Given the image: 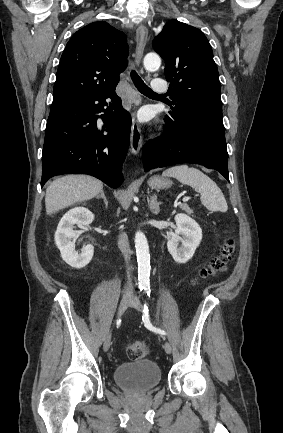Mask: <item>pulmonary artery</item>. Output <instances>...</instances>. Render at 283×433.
Here are the masks:
<instances>
[{
    "instance_id": "1",
    "label": "pulmonary artery",
    "mask_w": 283,
    "mask_h": 433,
    "mask_svg": "<svg viewBox=\"0 0 283 433\" xmlns=\"http://www.w3.org/2000/svg\"><path fill=\"white\" fill-rule=\"evenodd\" d=\"M151 89L152 92H165L167 86L165 84L164 78H155V80H153Z\"/></svg>"
}]
</instances>
